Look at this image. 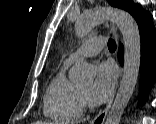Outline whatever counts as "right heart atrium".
Instances as JSON below:
<instances>
[{
	"instance_id": "1",
	"label": "right heart atrium",
	"mask_w": 156,
	"mask_h": 124,
	"mask_svg": "<svg viewBox=\"0 0 156 124\" xmlns=\"http://www.w3.org/2000/svg\"><path fill=\"white\" fill-rule=\"evenodd\" d=\"M82 101H83V107H84L86 105L87 101L84 97H83Z\"/></svg>"
}]
</instances>
